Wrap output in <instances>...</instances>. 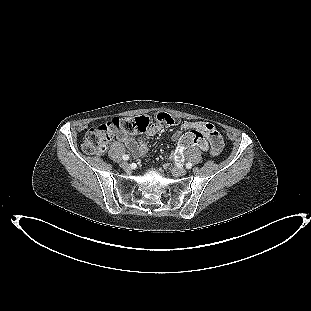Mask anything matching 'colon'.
<instances>
[{"label":"colon","mask_w":311,"mask_h":311,"mask_svg":"<svg viewBox=\"0 0 311 311\" xmlns=\"http://www.w3.org/2000/svg\"><path fill=\"white\" fill-rule=\"evenodd\" d=\"M152 124L160 126H179L183 123L176 117L160 112L154 116V123L148 116L114 118L105 124L89 129L83 139L82 148L89 154H100L106 150L107 143L115 133L145 132ZM191 145L205 146L203 136L193 130L179 142V148Z\"/></svg>","instance_id":"colon-1"}]
</instances>
